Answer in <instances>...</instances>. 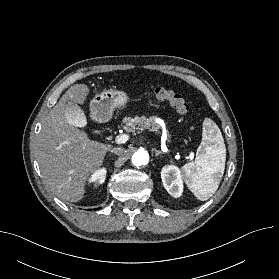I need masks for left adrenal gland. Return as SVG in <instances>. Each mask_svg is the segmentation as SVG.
Masks as SVG:
<instances>
[{"mask_svg": "<svg viewBox=\"0 0 279 279\" xmlns=\"http://www.w3.org/2000/svg\"><path fill=\"white\" fill-rule=\"evenodd\" d=\"M160 154H163V152L155 149V156L158 157Z\"/></svg>", "mask_w": 279, "mask_h": 279, "instance_id": "obj_1", "label": "left adrenal gland"}]
</instances>
